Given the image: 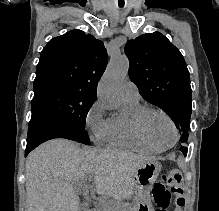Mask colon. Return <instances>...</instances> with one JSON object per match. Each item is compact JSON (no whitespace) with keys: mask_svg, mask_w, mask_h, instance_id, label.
Returning a JSON list of instances; mask_svg holds the SVG:
<instances>
[{"mask_svg":"<svg viewBox=\"0 0 219 211\" xmlns=\"http://www.w3.org/2000/svg\"><path fill=\"white\" fill-rule=\"evenodd\" d=\"M162 179L174 195V211H182L185 204V187L182 174L179 170L170 169L164 173Z\"/></svg>","mask_w":219,"mask_h":211,"instance_id":"5ec220e1","label":"colon"}]
</instances>
